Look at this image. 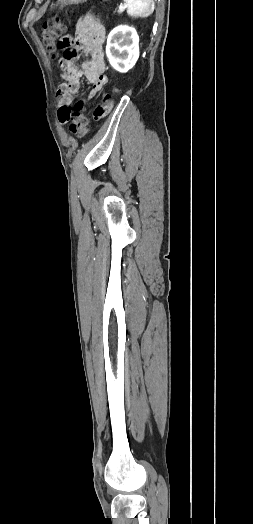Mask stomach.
I'll use <instances>...</instances> for the list:
<instances>
[{
    "label": "stomach",
    "instance_id": "0dacf381",
    "mask_svg": "<svg viewBox=\"0 0 253 524\" xmlns=\"http://www.w3.org/2000/svg\"><path fill=\"white\" fill-rule=\"evenodd\" d=\"M85 1L86 0H58V4H61V5L79 4Z\"/></svg>",
    "mask_w": 253,
    "mask_h": 524
}]
</instances>
